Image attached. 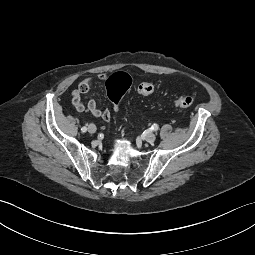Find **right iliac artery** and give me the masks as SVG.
<instances>
[{"label": "right iliac artery", "mask_w": 255, "mask_h": 255, "mask_svg": "<svg viewBox=\"0 0 255 255\" xmlns=\"http://www.w3.org/2000/svg\"><path fill=\"white\" fill-rule=\"evenodd\" d=\"M81 131H82V132H86V131H87V128L84 126V127L81 128Z\"/></svg>", "instance_id": "right-iliac-artery-1"}]
</instances>
